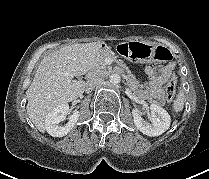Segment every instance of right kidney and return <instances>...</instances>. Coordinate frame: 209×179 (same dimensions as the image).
Masks as SVG:
<instances>
[{
	"mask_svg": "<svg viewBox=\"0 0 209 179\" xmlns=\"http://www.w3.org/2000/svg\"><path fill=\"white\" fill-rule=\"evenodd\" d=\"M69 106L68 104H62L54 108L46 118V131L52 137H63L67 135L75 126L80 116L78 111L73 112L69 116V121L65 126H58V124L66 119L68 114Z\"/></svg>",
	"mask_w": 209,
	"mask_h": 179,
	"instance_id": "1",
	"label": "right kidney"
}]
</instances>
